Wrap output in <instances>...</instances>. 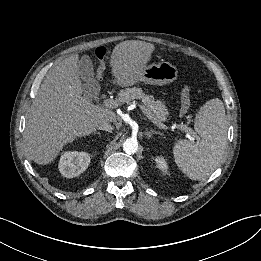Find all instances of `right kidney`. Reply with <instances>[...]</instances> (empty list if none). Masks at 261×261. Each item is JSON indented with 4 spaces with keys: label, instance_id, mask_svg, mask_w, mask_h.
Returning <instances> with one entry per match:
<instances>
[{
    "label": "right kidney",
    "instance_id": "ca27d5eb",
    "mask_svg": "<svg viewBox=\"0 0 261 261\" xmlns=\"http://www.w3.org/2000/svg\"><path fill=\"white\" fill-rule=\"evenodd\" d=\"M90 160L87 152L67 151L61 155L58 167L64 177L73 178L87 169Z\"/></svg>",
    "mask_w": 261,
    "mask_h": 261
}]
</instances>
